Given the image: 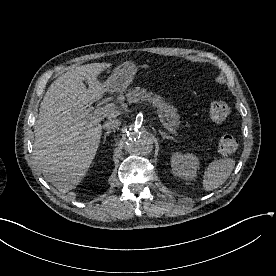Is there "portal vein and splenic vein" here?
<instances>
[{
    "label": "portal vein and splenic vein",
    "instance_id": "1",
    "mask_svg": "<svg viewBox=\"0 0 276 276\" xmlns=\"http://www.w3.org/2000/svg\"><path fill=\"white\" fill-rule=\"evenodd\" d=\"M87 113H89V110H87ZM117 113H118V111L115 109V106L112 105V104H109V105H106L105 107L95 108L94 113L93 114H88V117L92 122L97 123L105 117L116 116ZM157 114H158V118H159L160 122L163 124V126L168 131H170L172 133H175V130L173 128H171V126L168 123H166L165 119L163 118V115L160 114V113H157Z\"/></svg>",
    "mask_w": 276,
    "mask_h": 276
}]
</instances>
